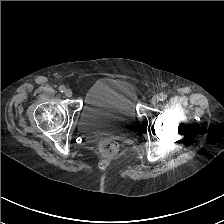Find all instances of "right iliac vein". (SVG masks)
<instances>
[{
    "instance_id": "1",
    "label": "right iliac vein",
    "mask_w": 224,
    "mask_h": 224,
    "mask_svg": "<svg viewBox=\"0 0 224 224\" xmlns=\"http://www.w3.org/2000/svg\"><path fill=\"white\" fill-rule=\"evenodd\" d=\"M72 95H73V92H72L71 89H67V90H65V96H66V97H71Z\"/></svg>"
}]
</instances>
